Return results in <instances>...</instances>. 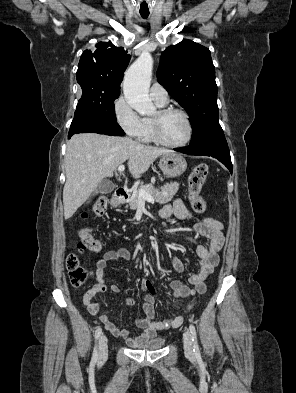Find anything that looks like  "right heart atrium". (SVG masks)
Here are the masks:
<instances>
[{"label": "right heart atrium", "instance_id": "1", "mask_svg": "<svg viewBox=\"0 0 296 393\" xmlns=\"http://www.w3.org/2000/svg\"><path fill=\"white\" fill-rule=\"evenodd\" d=\"M114 115L119 126L133 139H140L143 135V119L132 108L124 96H120L114 103Z\"/></svg>", "mask_w": 296, "mask_h": 393}]
</instances>
